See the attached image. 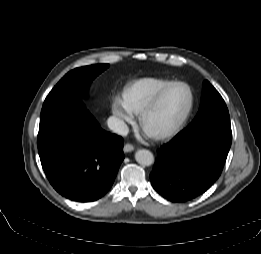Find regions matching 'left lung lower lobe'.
<instances>
[{"label":"left lung lower lobe","mask_w":261,"mask_h":254,"mask_svg":"<svg viewBox=\"0 0 261 254\" xmlns=\"http://www.w3.org/2000/svg\"><path fill=\"white\" fill-rule=\"evenodd\" d=\"M232 141L231 125L183 130L158 150L152 186L172 202L202 195L220 176Z\"/></svg>","instance_id":"left-lung-lower-lobe-1"}]
</instances>
